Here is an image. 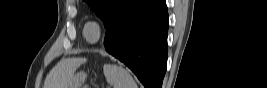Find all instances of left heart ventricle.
Masks as SVG:
<instances>
[{"mask_svg":"<svg viewBox=\"0 0 267 88\" xmlns=\"http://www.w3.org/2000/svg\"><path fill=\"white\" fill-rule=\"evenodd\" d=\"M88 35H89L90 38H94L96 36V30H95V28L90 27L88 29Z\"/></svg>","mask_w":267,"mask_h":88,"instance_id":"obj_1","label":"left heart ventricle"}]
</instances>
